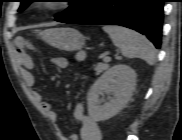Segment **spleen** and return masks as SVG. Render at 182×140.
Instances as JSON below:
<instances>
[{
    "label": "spleen",
    "instance_id": "1",
    "mask_svg": "<svg viewBox=\"0 0 182 140\" xmlns=\"http://www.w3.org/2000/svg\"><path fill=\"white\" fill-rule=\"evenodd\" d=\"M122 54L127 58H141L149 65L155 62V48L143 35L121 26L107 25L103 27Z\"/></svg>",
    "mask_w": 182,
    "mask_h": 140
}]
</instances>
